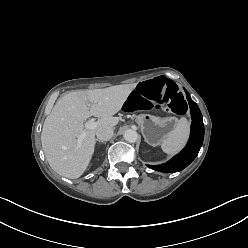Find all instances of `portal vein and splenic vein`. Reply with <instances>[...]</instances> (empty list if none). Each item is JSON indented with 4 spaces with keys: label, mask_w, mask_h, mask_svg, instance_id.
Masks as SVG:
<instances>
[{
    "label": "portal vein and splenic vein",
    "mask_w": 248,
    "mask_h": 248,
    "mask_svg": "<svg viewBox=\"0 0 248 248\" xmlns=\"http://www.w3.org/2000/svg\"><path fill=\"white\" fill-rule=\"evenodd\" d=\"M89 106H90V105H89ZM97 126H98V123L95 122V121H87V122L85 123V131H84L82 134H80V135L78 136V139H77L78 146L81 145L83 139L85 138V136H86V131H87V130L96 129Z\"/></svg>",
    "instance_id": "obj_1"
}]
</instances>
